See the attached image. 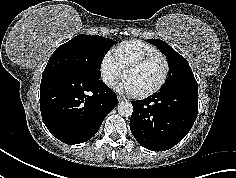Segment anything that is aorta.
Listing matches in <instances>:
<instances>
[{
	"label": "aorta",
	"mask_w": 236,
	"mask_h": 178,
	"mask_svg": "<svg viewBox=\"0 0 236 178\" xmlns=\"http://www.w3.org/2000/svg\"><path fill=\"white\" fill-rule=\"evenodd\" d=\"M117 110L121 116L129 117L133 113V106L130 102H121L118 104Z\"/></svg>",
	"instance_id": "aorta-1"
}]
</instances>
